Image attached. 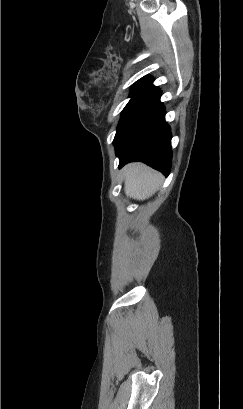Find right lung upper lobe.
Returning a JSON list of instances; mask_svg holds the SVG:
<instances>
[{
	"mask_svg": "<svg viewBox=\"0 0 243 409\" xmlns=\"http://www.w3.org/2000/svg\"><path fill=\"white\" fill-rule=\"evenodd\" d=\"M142 79H151L152 80V78L150 76H146V77H144Z\"/></svg>",
	"mask_w": 243,
	"mask_h": 409,
	"instance_id": "cb5924a9",
	"label": "right lung upper lobe"
}]
</instances>
